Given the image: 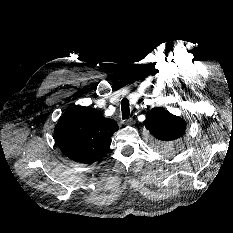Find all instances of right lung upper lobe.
<instances>
[{"label":"right lung upper lobe","mask_w":233,"mask_h":233,"mask_svg":"<svg viewBox=\"0 0 233 233\" xmlns=\"http://www.w3.org/2000/svg\"><path fill=\"white\" fill-rule=\"evenodd\" d=\"M118 129L113 119L105 118L98 110L76 106L60 117L54 134L64 155L91 164L106 154Z\"/></svg>","instance_id":"cb5924a9"}]
</instances>
